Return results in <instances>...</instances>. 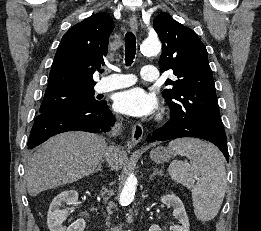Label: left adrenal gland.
Instances as JSON below:
<instances>
[{
  "instance_id": "left-adrenal-gland-1",
  "label": "left adrenal gland",
  "mask_w": 261,
  "mask_h": 231,
  "mask_svg": "<svg viewBox=\"0 0 261 231\" xmlns=\"http://www.w3.org/2000/svg\"><path fill=\"white\" fill-rule=\"evenodd\" d=\"M155 175H162V172L158 171V169H156V168H153V173H152V175L150 176V180H152V178H153Z\"/></svg>"
}]
</instances>
